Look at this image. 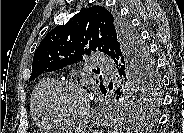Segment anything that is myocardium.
Returning <instances> with one entry per match:
<instances>
[{
  "instance_id": "f54148a6",
  "label": "myocardium",
  "mask_w": 184,
  "mask_h": 133,
  "mask_svg": "<svg viewBox=\"0 0 184 133\" xmlns=\"http://www.w3.org/2000/svg\"><path fill=\"white\" fill-rule=\"evenodd\" d=\"M62 88H75L80 90L84 94L86 98V109L84 113L78 118L65 119V118L59 117L54 112L52 107V99L55 93L61 90ZM43 108L46 115L51 119V121L54 124L69 126V127L80 126L86 123L92 116V103H91L90 93L82 83L75 80H68V79L59 80V81H56L51 87H49V89L46 91L43 98Z\"/></svg>"
}]
</instances>
